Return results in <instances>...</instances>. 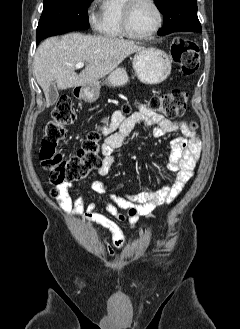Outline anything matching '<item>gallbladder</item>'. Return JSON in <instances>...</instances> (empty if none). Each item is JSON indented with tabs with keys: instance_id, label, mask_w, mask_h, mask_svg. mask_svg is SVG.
Listing matches in <instances>:
<instances>
[{
	"instance_id": "gallbladder-1",
	"label": "gallbladder",
	"mask_w": 240,
	"mask_h": 329,
	"mask_svg": "<svg viewBox=\"0 0 240 329\" xmlns=\"http://www.w3.org/2000/svg\"><path fill=\"white\" fill-rule=\"evenodd\" d=\"M48 95H49V102L51 105L55 104L58 101L59 93L55 82L49 85Z\"/></svg>"
}]
</instances>
